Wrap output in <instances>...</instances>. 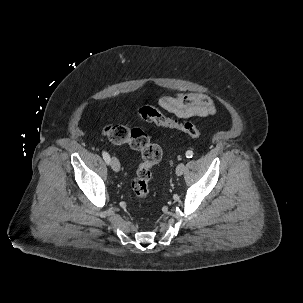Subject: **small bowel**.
Masks as SVG:
<instances>
[{
    "label": "small bowel",
    "mask_w": 303,
    "mask_h": 303,
    "mask_svg": "<svg viewBox=\"0 0 303 303\" xmlns=\"http://www.w3.org/2000/svg\"><path fill=\"white\" fill-rule=\"evenodd\" d=\"M159 103L165 110L179 118L205 117L217 112L213 101L208 96L199 93L163 96Z\"/></svg>",
    "instance_id": "small-bowel-1"
}]
</instances>
